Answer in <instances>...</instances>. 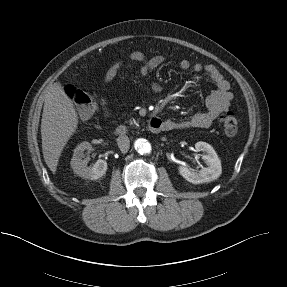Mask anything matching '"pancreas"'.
Segmentation results:
<instances>
[{"label": "pancreas", "mask_w": 287, "mask_h": 287, "mask_svg": "<svg viewBox=\"0 0 287 287\" xmlns=\"http://www.w3.org/2000/svg\"><path fill=\"white\" fill-rule=\"evenodd\" d=\"M128 122L130 125H138L135 119H130Z\"/></svg>", "instance_id": "obj_1"}]
</instances>
